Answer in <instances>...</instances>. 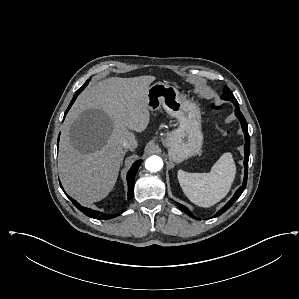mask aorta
<instances>
[{"mask_svg": "<svg viewBox=\"0 0 299 299\" xmlns=\"http://www.w3.org/2000/svg\"><path fill=\"white\" fill-rule=\"evenodd\" d=\"M145 168L149 172H158L163 168V161L159 156L153 155L145 161Z\"/></svg>", "mask_w": 299, "mask_h": 299, "instance_id": "762f6f07", "label": "aorta"}]
</instances>
